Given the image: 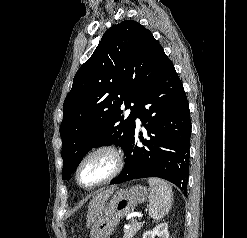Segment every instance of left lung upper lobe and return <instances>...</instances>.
I'll return each mask as SVG.
<instances>
[{
	"mask_svg": "<svg viewBox=\"0 0 247 238\" xmlns=\"http://www.w3.org/2000/svg\"><path fill=\"white\" fill-rule=\"evenodd\" d=\"M166 58L152 33L136 21H123L105 32L64 101L63 179L93 147L115 144L125 151L137 111ZM123 105L131 109L128 117L122 116Z\"/></svg>",
	"mask_w": 247,
	"mask_h": 238,
	"instance_id": "left-lung-upper-lobe-1",
	"label": "left lung upper lobe"
}]
</instances>
